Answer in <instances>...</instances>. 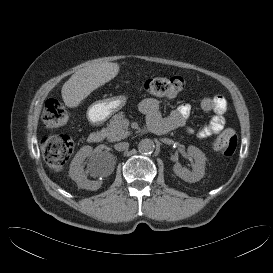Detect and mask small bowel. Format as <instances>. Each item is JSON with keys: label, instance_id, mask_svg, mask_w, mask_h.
Returning a JSON list of instances; mask_svg holds the SVG:
<instances>
[{"label": "small bowel", "instance_id": "small-bowel-1", "mask_svg": "<svg viewBox=\"0 0 273 273\" xmlns=\"http://www.w3.org/2000/svg\"><path fill=\"white\" fill-rule=\"evenodd\" d=\"M201 107L204 111L214 112V115L196 131L187 126V119L191 111L188 104H181L166 116L164 120L168 122L170 130L186 128L188 132L196 134L200 139H207L222 132L225 127L224 112L227 107L226 99L221 95L206 97L202 100ZM140 110L145 114L148 122L161 118L159 103L154 98L144 99L140 103Z\"/></svg>", "mask_w": 273, "mask_h": 273}]
</instances>
